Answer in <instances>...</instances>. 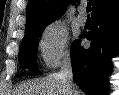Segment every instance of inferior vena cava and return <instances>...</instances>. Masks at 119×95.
<instances>
[{
  "label": "inferior vena cava",
  "mask_w": 119,
  "mask_h": 95,
  "mask_svg": "<svg viewBox=\"0 0 119 95\" xmlns=\"http://www.w3.org/2000/svg\"><path fill=\"white\" fill-rule=\"evenodd\" d=\"M58 77L66 84L67 92L69 95H79V90L72 77V66L70 54H66L61 62V69Z\"/></svg>",
  "instance_id": "obj_1"
}]
</instances>
